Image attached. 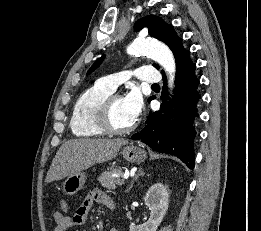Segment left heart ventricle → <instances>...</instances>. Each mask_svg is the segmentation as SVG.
I'll return each mask as SVG.
<instances>
[{
  "label": "left heart ventricle",
  "instance_id": "left-heart-ventricle-1",
  "mask_svg": "<svg viewBox=\"0 0 261 231\" xmlns=\"http://www.w3.org/2000/svg\"><path fill=\"white\" fill-rule=\"evenodd\" d=\"M112 122L116 127L124 128L131 125L135 119L128 112L124 99H117L112 106Z\"/></svg>",
  "mask_w": 261,
  "mask_h": 231
}]
</instances>
